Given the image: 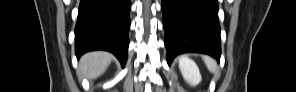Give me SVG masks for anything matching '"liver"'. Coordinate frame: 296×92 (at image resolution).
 <instances>
[{"label":"liver","mask_w":296,"mask_h":92,"mask_svg":"<svg viewBox=\"0 0 296 92\" xmlns=\"http://www.w3.org/2000/svg\"><path fill=\"white\" fill-rule=\"evenodd\" d=\"M112 58L113 56L105 51L86 53L80 59L78 73L88 79H95L105 72Z\"/></svg>","instance_id":"6515ba94"}]
</instances>
